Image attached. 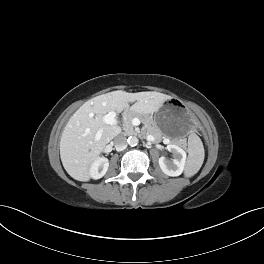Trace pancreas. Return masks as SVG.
<instances>
[{
	"instance_id": "1",
	"label": "pancreas",
	"mask_w": 264,
	"mask_h": 264,
	"mask_svg": "<svg viewBox=\"0 0 264 264\" xmlns=\"http://www.w3.org/2000/svg\"><path fill=\"white\" fill-rule=\"evenodd\" d=\"M135 117L139 118L145 125L147 134L153 135L157 141H160L163 138L161 130L158 128L157 125H155L149 119L133 111L127 112L124 117V130L126 134H132L134 132L132 119Z\"/></svg>"
}]
</instances>
